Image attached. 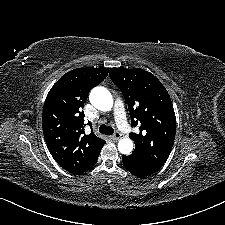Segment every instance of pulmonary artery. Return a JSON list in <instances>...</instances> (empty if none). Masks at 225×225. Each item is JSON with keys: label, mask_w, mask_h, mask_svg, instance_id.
I'll use <instances>...</instances> for the list:
<instances>
[{"label": "pulmonary artery", "mask_w": 225, "mask_h": 225, "mask_svg": "<svg viewBox=\"0 0 225 225\" xmlns=\"http://www.w3.org/2000/svg\"><path fill=\"white\" fill-rule=\"evenodd\" d=\"M108 110L112 113L115 119L118 122L119 128L121 130H126L128 127L125 111H124V103L121 100L114 101L109 104Z\"/></svg>", "instance_id": "1"}]
</instances>
